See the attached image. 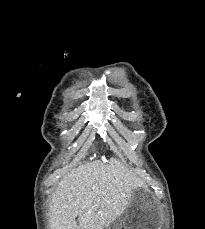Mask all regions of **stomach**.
Here are the masks:
<instances>
[{"label":"stomach","mask_w":205,"mask_h":229,"mask_svg":"<svg viewBox=\"0 0 205 229\" xmlns=\"http://www.w3.org/2000/svg\"><path fill=\"white\" fill-rule=\"evenodd\" d=\"M161 225V211L157 202L147 196H137L130 200L107 229H161Z\"/></svg>","instance_id":"0dacf381"}]
</instances>
